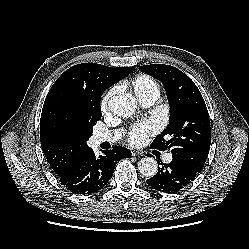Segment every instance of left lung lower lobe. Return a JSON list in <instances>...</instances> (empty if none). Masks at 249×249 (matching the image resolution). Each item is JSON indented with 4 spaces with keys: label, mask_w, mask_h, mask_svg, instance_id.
<instances>
[{
    "label": "left lung lower lobe",
    "mask_w": 249,
    "mask_h": 249,
    "mask_svg": "<svg viewBox=\"0 0 249 249\" xmlns=\"http://www.w3.org/2000/svg\"><path fill=\"white\" fill-rule=\"evenodd\" d=\"M160 162L158 163V166ZM198 173L183 165L180 161L172 159L169 164L162 163L156 175L146 180L153 189L174 193L187 187Z\"/></svg>",
    "instance_id": "left-lung-lower-lobe-1"
}]
</instances>
